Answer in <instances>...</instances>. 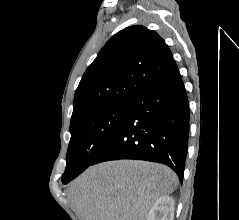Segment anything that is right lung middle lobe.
<instances>
[{"instance_id":"obj_1","label":"right lung middle lobe","mask_w":239,"mask_h":220,"mask_svg":"<svg viewBox=\"0 0 239 220\" xmlns=\"http://www.w3.org/2000/svg\"><path fill=\"white\" fill-rule=\"evenodd\" d=\"M129 104H119L82 116L70 124L71 139L62 183L67 184L86 168L124 121Z\"/></svg>"}]
</instances>
